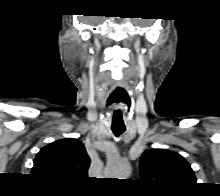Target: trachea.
Masks as SVG:
<instances>
[{
    "label": "trachea",
    "mask_w": 220,
    "mask_h": 196,
    "mask_svg": "<svg viewBox=\"0 0 220 196\" xmlns=\"http://www.w3.org/2000/svg\"><path fill=\"white\" fill-rule=\"evenodd\" d=\"M112 131L118 137L125 131V128H112Z\"/></svg>",
    "instance_id": "obj_1"
}]
</instances>
